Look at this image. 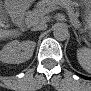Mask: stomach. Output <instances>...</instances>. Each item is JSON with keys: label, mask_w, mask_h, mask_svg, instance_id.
<instances>
[{"label": "stomach", "mask_w": 91, "mask_h": 91, "mask_svg": "<svg viewBox=\"0 0 91 91\" xmlns=\"http://www.w3.org/2000/svg\"><path fill=\"white\" fill-rule=\"evenodd\" d=\"M90 17L87 15L86 21L89 23Z\"/></svg>", "instance_id": "0dacf381"}]
</instances>
